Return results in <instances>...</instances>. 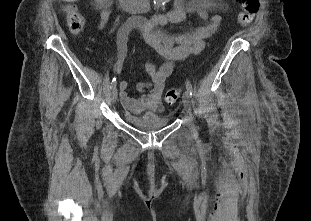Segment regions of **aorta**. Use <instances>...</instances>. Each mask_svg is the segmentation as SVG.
Segmentation results:
<instances>
[{
	"instance_id": "1",
	"label": "aorta",
	"mask_w": 311,
	"mask_h": 221,
	"mask_svg": "<svg viewBox=\"0 0 311 221\" xmlns=\"http://www.w3.org/2000/svg\"><path fill=\"white\" fill-rule=\"evenodd\" d=\"M163 0H154V6L155 8H159V6H161Z\"/></svg>"
}]
</instances>
